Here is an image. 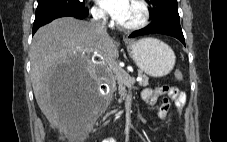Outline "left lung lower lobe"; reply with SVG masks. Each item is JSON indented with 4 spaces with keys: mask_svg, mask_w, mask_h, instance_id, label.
Listing matches in <instances>:
<instances>
[{
    "mask_svg": "<svg viewBox=\"0 0 227 142\" xmlns=\"http://www.w3.org/2000/svg\"><path fill=\"white\" fill-rule=\"evenodd\" d=\"M154 33L165 34V35L175 37L185 45V39H184L180 24L168 22V21L152 22L151 25L133 32L129 37L133 38L140 35H147V34H154Z\"/></svg>",
    "mask_w": 227,
    "mask_h": 142,
    "instance_id": "0a47b994",
    "label": "left lung lower lobe"
}]
</instances>
